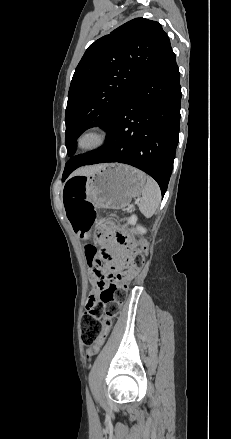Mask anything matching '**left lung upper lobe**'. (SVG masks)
Instances as JSON below:
<instances>
[{"label": "left lung upper lobe", "mask_w": 231, "mask_h": 439, "mask_svg": "<svg viewBox=\"0 0 231 439\" xmlns=\"http://www.w3.org/2000/svg\"><path fill=\"white\" fill-rule=\"evenodd\" d=\"M162 26L135 18L91 44L73 75L65 114L68 155L88 128L107 129L133 87L170 52ZM65 165L63 178L68 176Z\"/></svg>", "instance_id": "obj_1"}]
</instances>
